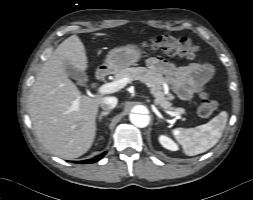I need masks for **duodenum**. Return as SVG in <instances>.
<instances>
[{
    "label": "duodenum",
    "instance_id": "duodenum-1",
    "mask_svg": "<svg viewBox=\"0 0 253 200\" xmlns=\"http://www.w3.org/2000/svg\"><path fill=\"white\" fill-rule=\"evenodd\" d=\"M109 72L110 70L107 67H101L97 70L95 77L97 80H102L109 74Z\"/></svg>",
    "mask_w": 253,
    "mask_h": 200
}]
</instances>
